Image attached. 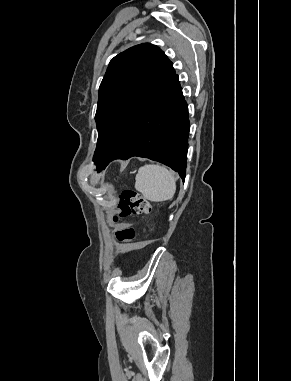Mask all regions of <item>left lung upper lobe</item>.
Returning <instances> with one entry per match:
<instances>
[{"mask_svg": "<svg viewBox=\"0 0 291 381\" xmlns=\"http://www.w3.org/2000/svg\"><path fill=\"white\" fill-rule=\"evenodd\" d=\"M175 76L172 62L150 43L133 46L110 61L99 88L95 115L96 165L122 140L151 98Z\"/></svg>", "mask_w": 291, "mask_h": 381, "instance_id": "5c2ea615", "label": "left lung upper lobe"}]
</instances>
